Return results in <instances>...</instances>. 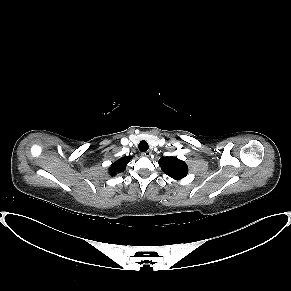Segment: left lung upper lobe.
I'll use <instances>...</instances> for the list:
<instances>
[{
  "label": "left lung upper lobe",
  "mask_w": 291,
  "mask_h": 291,
  "mask_svg": "<svg viewBox=\"0 0 291 291\" xmlns=\"http://www.w3.org/2000/svg\"><path fill=\"white\" fill-rule=\"evenodd\" d=\"M162 171L175 180L184 178L188 173L186 163L177 157H161L159 160Z\"/></svg>",
  "instance_id": "5c2ea615"
}]
</instances>
